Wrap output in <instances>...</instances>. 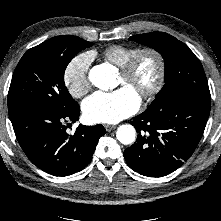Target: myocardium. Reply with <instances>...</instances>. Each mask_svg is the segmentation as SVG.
Returning a JSON list of instances; mask_svg holds the SVG:
<instances>
[{"mask_svg": "<svg viewBox=\"0 0 221 221\" xmlns=\"http://www.w3.org/2000/svg\"><path fill=\"white\" fill-rule=\"evenodd\" d=\"M147 55L153 56L155 58L157 62V75L152 86L140 94V98L143 101H150L154 99L164 85L166 76V63L163 55L154 48H143L135 53L130 58V60L121 68V75L126 81H129L135 74L141 59Z\"/></svg>", "mask_w": 221, "mask_h": 221, "instance_id": "obj_1", "label": "myocardium"}]
</instances>
